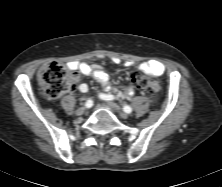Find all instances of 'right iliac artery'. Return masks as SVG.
I'll return each instance as SVG.
<instances>
[{
    "label": "right iliac artery",
    "instance_id": "82829eb1",
    "mask_svg": "<svg viewBox=\"0 0 222 187\" xmlns=\"http://www.w3.org/2000/svg\"><path fill=\"white\" fill-rule=\"evenodd\" d=\"M92 105H93L92 100H87L86 103H85L86 108H91Z\"/></svg>",
    "mask_w": 222,
    "mask_h": 187
}]
</instances>
